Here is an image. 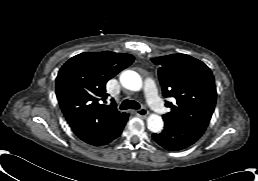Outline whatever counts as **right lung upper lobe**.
I'll use <instances>...</instances> for the list:
<instances>
[{
    "mask_svg": "<svg viewBox=\"0 0 258 181\" xmlns=\"http://www.w3.org/2000/svg\"><path fill=\"white\" fill-rule=\"evenodd\" d=\"M134 61L130 54L81 53L69 59L56 78V95L72 128L89 126L121 116L114 104L102 103L108 94L106 82Z\"/></svg>",
    "mask_w": 258,
    "mask_h": 181,
    "instance_id": "obj_1",
    "label": "right lung upper lobe"
}]
</instances>
